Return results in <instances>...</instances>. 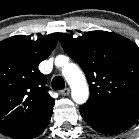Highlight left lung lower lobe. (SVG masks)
<instances>
[{
	"mask_svg": "<svg viewBox=\"0 0 139 139\" xmlns=\"http://www.w3.org/2000/svg\"><path fill=\"white\" fill-rule=\"evenodd\" d=\"M81 116L96 131L104 134H118L131 127L139 118V103L114 108L101 109L82 105Z\"/></svg>",
	"mask_w": 139,
	"mask_h": 139,
	"instance_id": "1",
	"label": "left lung lower lobe"
}]
</instances>
